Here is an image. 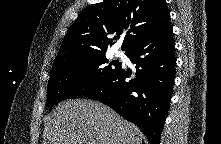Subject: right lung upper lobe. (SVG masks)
<instances>
[{"label": "right lung upper lobe", "mask_w": 221, "mask_h": 144, "mask_svg": "<svg viewBox=\"0 0 221 144\" xmlns=\"http://www.w3.org/2000/svg\"><path fill=\"white\" fill-rule=\"evenodd\" d=\"M170 24L165 0H103L84 9L70 26L52 68L105 53L110 35L126 32L121 49L150 37Z\"/></svg>", "instance_id": "right-lung-upper-lobe-1"}]
</instances>
